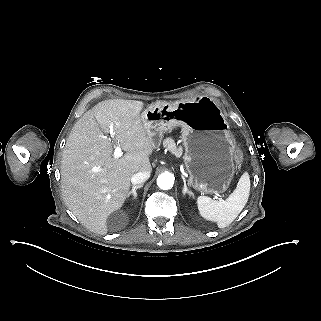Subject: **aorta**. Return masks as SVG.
Masks as SVG:
<instances>
[{"instance_id":"762f6f07","label":"aorta","mask_w":321,"mask_h":321,"mask_svg":"<svg viewBox=\"0 0 321 321\" xmlns=\"http://www.w3.org/2000/svg\"><path fill=\"white\" fill-rule=\"evenodd\" d=\"M174 180L175 178L171 173H162L157 178V185L160 189L168 190L172 188Z\"/></svg>"}]
</instances>
